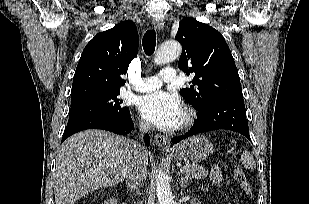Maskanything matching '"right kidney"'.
<instances>
[{
	"label": "right kidney",
	"mask_w": 309,
	"mask_h": 204,
	"mask_svg": "<svg viewBox=\"0 0 309 204\" xmlns=\"http://www.w3.org/2000/svg\"><path fill=\"white\" fill-rule=\"evenodd\" d=\"M104 204H117V199L116 198L108 199L107 201L104 202Z\"/></svg>",
	"instance_id": "ca27d5eb"
}]
</instances>
